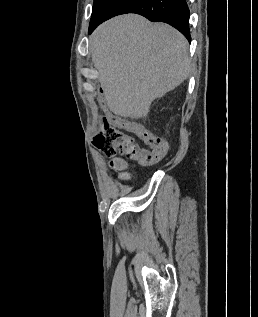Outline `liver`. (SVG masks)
Returning <instances> with one entry per match:
<instances>
[{
    "mask_svg": "<svg viewBox=\"0 0 258 317\" xmlns=\"http://www.w3.org/2000/svg\"><path fill=\"white\" fill-rule=\"evenodd\" d=\"M89 42L107 104L119 116H147L154 98L164 96L190 74L185 36L140 14L106 20Z\"/></svg>",
    "mask_w": 258,
    "mask_h": 317,
    "instance_id": "liver-1",
    "label": "liver"
}]
</instances>
